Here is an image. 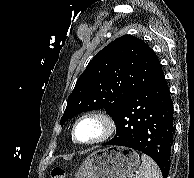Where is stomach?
Returning <instances> with one entry per match:
<instances>
[{
	"mask_svg": "<svg viewBox=\"0 0 194 178\" xmlns=\"http://www.w3.org/2000/svg\"><path fill=\"white\" fill-rule=\"evenodd\" d=\"M140 164L139 154L114 146L91 153L76 172V178H128Z\"/></svg>",
	"mask_w": 194,
	"mask_h": 178,
	"instance_id": "0dacf381",
	"label": "stomach"
}]
</instances>
